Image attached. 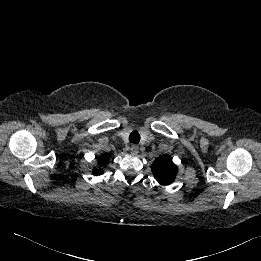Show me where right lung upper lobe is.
<instances>
[{"label":"right lung upper lobe","mask_w":261,"mask_h":261,"mask_svg":"<svg viewBox=\"0 0 261 261\" xmlns=\"http://www.w3.org/2000/svg\"><path fill=\"white\" fill-rule=\"evenodd\" d=\"M109 159H110V156L104 155L102 158L99 159L98 164H99L100 166H103V165L107 164V162L109 161ZM93 173H94L95 175H97V174L102 173V170H97V169L95 168V169L93 170Z\"/></svg>","instance_id":"cb5924a9"}]
</instances>
